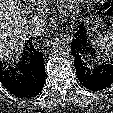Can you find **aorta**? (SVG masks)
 <instances>
[{
  "instance_id": "aorta-1",
  "label": "aorta",
  "mask_w": 113,
  "mask_h": 113,
  "mask_svg": "<svg viewBox=\"0 0 113 113\" xmlns=\"http://www.w3.org/2000/svg\"><path fill=\"white\" fill-rule=\"evenodd\" d=\"M48 47L57 55H67L71 51L70 41L64 36L49 41Z\"/></svg>"
}]
</instances>
